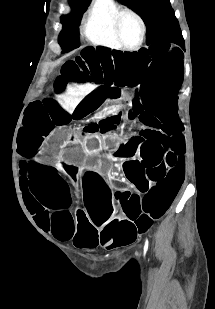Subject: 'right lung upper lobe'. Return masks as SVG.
<instances>
[{"label": "right lung upper lobe", "mask_w": 215, "mask_h": 309, "mask_svg": "<svg viewBox=\"0 0 215 309\" xmlns=\"http://www.w3.org/2000/svg\"><path fill=\"white\" fill-rule=\"evenodd\" d=\"M71 1V0H70ZM73 1H77V2H84V3H88L90 2V0H73Z\"/></svg>", "instance_id": "1"}]
</instances>
